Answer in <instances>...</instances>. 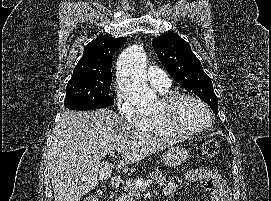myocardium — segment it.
<instances>
[{
  "instance_id": "myocardium-1",
  "label": "myocardium",
  "mask_w": 271,
  "mask_h": 201,
  "mask_svg": "<svg viewBox=\"0 0 271 201\" xmlns=\"http://www.w3.org/2000/svg\"><path fill=\"white\" fill-rule=\"evenodd\" d=\"M183 100H191L201 105L209 115L208 124L201 128H189L181 124L175 115V111L177 105ZM160 102L163 106V109L157 112L156 117L164 126L175 133L183 135L202 133L209 129L214 123V114L209 105L201 98L193 94L185 92H169L162 95Z\"/></svg>"
}]
</instances>
